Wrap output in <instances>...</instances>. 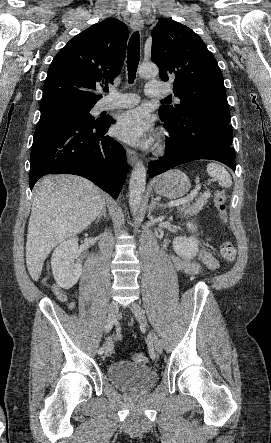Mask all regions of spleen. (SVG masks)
Returning <instances> with one entry per match:
<instances>
[{"label": "spleen", "mask_w": 271, "mask_h": 443, "mask_svg": "<svg viewBox=\"0 0 271 443\" xmlns=\"http://www.w3.org/2000/svg\"><path fill=\"white\" fill-rule=\"evenodd\" d=\"M207 174H209L211 178H216L219 186H222V188H230V186H232V180L229 172L225 170L224 166H220V164H215V162L208 164Z\"/></svg>", "instance_id": "obj_1"}]
</instances>
